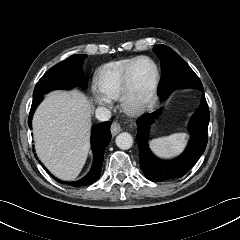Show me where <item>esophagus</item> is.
<instances>
[{
	"instance_id": "obj_1",
	"label": "esophagus",
	"mask_w": 240,
	"mask_h": 240,
	"mask_svg": "<svg viewBox=\"0 0 240 240\" xmlns=\"http://www.w3.org/2000/svg\"><path fill=\"white\" fill-rule=\"evenodd\" d=\"M122 131V127L118 122H113L111 125V133L113 136L117 135Z\"/></svg>"
}]
</instances>
